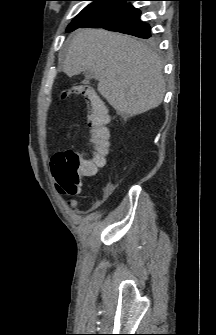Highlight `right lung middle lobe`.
I'll list each match as a JSON object with an SVG mask.
<instances>
[{"instance_id":"obj_1","label":"right lung middle lobe","mask_w":216,"mask_h":335,"mask_svg":"<svg viewBox=\"0 0 216 335\" xmlns=\"http://www.w3.org/2000/svg\"><path fill=\"white\" fill-rule=\"evenodd\" d=\"M87 1H92V3L89 4L86 8H84L77 15V17L69 24L67 32H71L79 28L80 26L91 20L93 17L97 16L98 14L108 9L118 0H87Z\"/></svg>"}]
</instances>
